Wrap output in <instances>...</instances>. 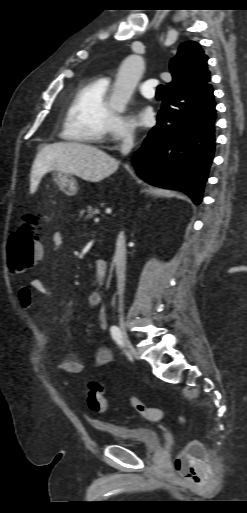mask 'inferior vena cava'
<instances>
[{
	"mask_svg": "<svg viewBox=\"0 0 247 513\" xmlns=\"http://www.w3.org/2000/svg\"><path fill=\"white\" fill-rule=\"evenodd\" d=\"M134 146V131L132 128H127L122 135L121 153L127 155ZM117 275V287L119 295V312H123V293L125 285V264H126V247L125 237L123 232L118 236L116 243V251L114 256Z\"/></svg>",
	"mask_w": 247,
	"mask_h": 513,
	"instance_id": "602c4592",
	"label": "inferior vena cava"
}]
</instances>
